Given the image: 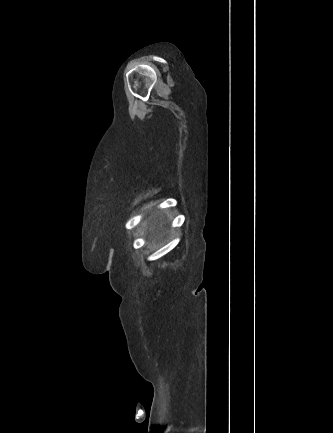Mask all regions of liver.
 Masks as SVG:
<instances>
[{"label":"liver","mask_w":333,"mask_h":433,"mask_svg":"<svg viewBox=\"0 0 333 433\" xmlns=\"http://www.w3.org/2000/svg\"><path fill=\"white\" fill-rule=\"evenodd\" d=\"M164 217L165 215L163 213H156L151 216L150 222L146 223L152 244L159 242L166 233L165 222L163 221Z\"/></svg>","instance_id":"6515ba94"}]
</instances>
